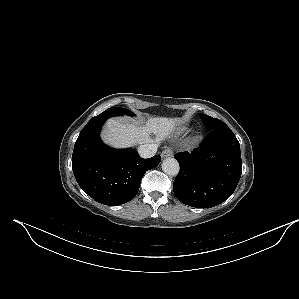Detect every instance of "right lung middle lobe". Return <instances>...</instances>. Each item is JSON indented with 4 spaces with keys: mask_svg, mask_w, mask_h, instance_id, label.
<instances>
[{
    "mask_svg": "<svg viewBox=\"0 0 299 299\" xmlns=\"http://www.w3.org/2000/svg\"><path fill=\"white\" fill-rule=\"evenodd\" d=\"M104 112H110L115 115H123V114L130 115V116L134 115L130 110H127L125 108H120V107L109 108Z\"/></svg>",
    "mask_w": 299,
    "mask_h": 299,
    "instance_id": "obj_1",
    "label": "right lung middle lobe"
}]
</instances>
